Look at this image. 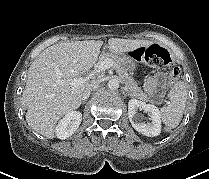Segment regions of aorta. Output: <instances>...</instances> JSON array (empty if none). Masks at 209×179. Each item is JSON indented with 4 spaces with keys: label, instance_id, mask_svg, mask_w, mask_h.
<instances>
[{
    "label": "aorta",
    "instance_id": "762f6f07",
    "mask_svg": "<svg viewBox=\"0 0 209 179\" xmlns=\"http://www.w3.org/2000/svg\"><path fill=\"white\" fill-rule=\"evenodd\" d=\"M108 88L110 90H117L119 88V80L117 78H111L108 82Z\"/></svg>",
    "mask_w": 209,
    "mask_h": 179
}]
</instances>
